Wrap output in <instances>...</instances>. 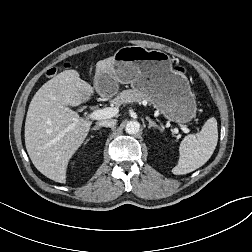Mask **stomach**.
Here are the masks:
<instances>
[{
  "mask_svg": "<svg viewBox=\"0 0 252 252\" xmlns=\"http://www.w3.org/2000/svg\"><path fill=\"white\" fill-rule=\"evenodd\" d=\"M94 79L103 97L114 96L119 84H131L172 122L187 123L197 111L187 77L174 71L170 56L160 50L124 46L113 56L112 71H100Z\"/></svg>",
  "mask_w": 252,
  "mask_h": 252,
  "instance_id": "1",
  "label": "stomach"
}]
</instances>
